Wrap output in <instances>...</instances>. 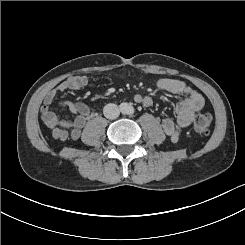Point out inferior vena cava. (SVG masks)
<instances>
[{
    "instance_id": "602c4592",
    "label": "inferior vena cava",
    "mask_w": 245,
    "mask_h": 245,
    "mask_svg": "<svg viewBox=\"0 0 245 245\" xmlns=\"http://www.w3.org/2000/svg\"><path fill=\"white\" fill-rule=\"evenodd\" d=\"M119 108L116 104L109 103L104 106L103 108V114L107 119H116L119 116Z\"/></svg>"
}]
</instances>
